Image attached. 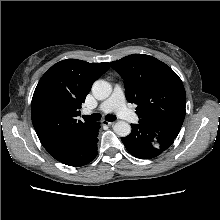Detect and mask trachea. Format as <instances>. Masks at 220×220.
<instances>
[{
    "instance_id": "1",
    "label": "trachea",
    "mask_w": 220,
    "mask_h": 220,
    "mask_svg": "<svg viewBox=\"0 0 220 220\" xmlns=\"http://www.w3.org/2000/svg\"><path fill=\"white\" fill-rule=\"evenodd\" d=\"M83 119L85 120H91V121H99L101 119V115L99 113H94L92 115H85L83 116ZM106 120L109 122L115 121L116 116L115 115H106Z\"/></svg>"
}]
</instances>
